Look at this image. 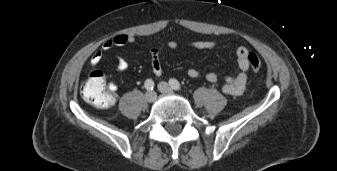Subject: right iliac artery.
Returning a JSON list of instances; mask_svg holds the SVG:
<instances>
[{
	"label": "right iliac artery",
	"mask_w": 337,
	"mask_h": 171,
	"mask_svg": "<svg viewBox=\"0 0 337 171\" xmlns=\"http://www.w3.org/2000/svg\"><path fill=\"white\" fill-rule=\"evenodd\" d=\"M144 86L147 90H153L154 82L151 79H147L144 83Z\"/></svg>",
	"instance_id": "right-iliac-artery-1"
}]
</instances>
